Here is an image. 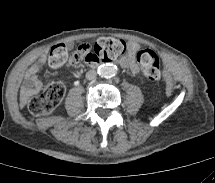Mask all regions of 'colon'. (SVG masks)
I'll return each mask as SVG.
<instances>
[{"mask_svg":"<svg viewBox=\"0 0 215 183\" xmlns=\"http://www.w3.org/2000/svg\"><path fill=\"white\" fill-rule=\"evenodd\" d=\"M126 49V44L111 37H102L93 44L80 45L71 55L76 61L85 60L88 63L112 62L118 59ZM68 57L67 46L63 43L54 45L49 53L48 62L52 67L63 65ZM137 60L145 77L155 82L160 79V66L157 55L151 50H142L137 54ZM65 85L53 82L37 96L28 101V108L34 115H49L60 104L65 95Z\"/></svg>","mask_w":215,"mask_h":183,"instance_id":"1","label":"colon"}]
</instances>
